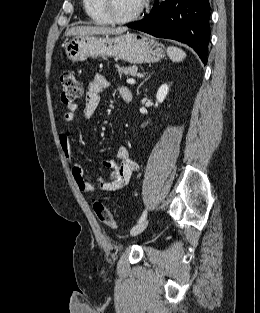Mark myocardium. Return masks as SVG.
Instances as JSON below:
<instances>
[{
  "instance_id": "myocardium-1",
  "label": "myocardium",
  "mask_w": 260,
  "mask_h": 313,
  "mask_svg": "<svg viewBox=\"0 0 260 313\" xmlns=\"http://www.w3.org/2000/svg\"><path fill=\"white\" fill-rule=\"evenodd\" d=\"M145 5H146V1L143 0L141 1V4L138 7V9L134 11L132 14L125 16V17H120V16H117L114 12L113 0H101V9L103 13L106 15V17L111 23H117V24L128 23L137 19L142 13Z\"/></svg>"
}]
</instances>
